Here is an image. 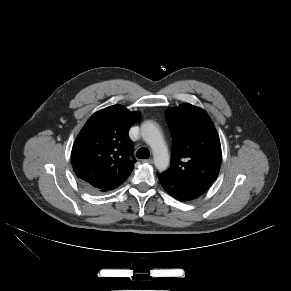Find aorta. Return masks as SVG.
<instances>
[{"mask_svg": "<svg viewBox=\"0 0 291 291\" xmlns=\"http://www.w3.org/2000/svg\"><path fill=\"white\" fill-rule=\"evenodd\" d=\"M143 140L151 147L154 163L159 171H165L170 162L168 148L159 128L151 121H145L141 125Z\"/></svg>", "mask_w": 291, "mask_h": 291, "instance_id": "obj_1", "label": "aorta"}]
</instances>
